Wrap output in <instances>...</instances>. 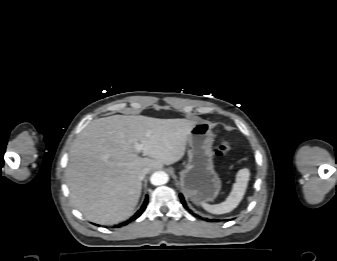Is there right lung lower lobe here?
<instances>
[{
  "mask_svg": "<svg viewBox=\"0 0 337 261\" xmlns=\"http://www.w3.org/2000/svg\"><path fill=\"white\" fill-rule=\"evenodd\" d=\"M147 204H148V196H146V199H145V201H144L142 207L135 213V215L132 216L129 220H127V222H123V223H121L120 225H126V224H128L129 222H131V221L137 219V218L144 212V210H145Z\"/></svg>",
  "mask_w": 337,
  "mask_h": 261,
  "instance_id": "obj_1",
  "label": "right lung lower lobe"
}]
</instances>
